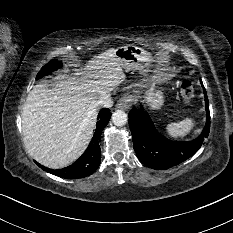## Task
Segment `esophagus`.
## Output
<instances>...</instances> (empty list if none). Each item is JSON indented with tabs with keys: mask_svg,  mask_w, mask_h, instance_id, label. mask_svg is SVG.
Wrapping results in <instances>:
<instances>
[{
	"mask_svg": "<svg viewBox=\"0 0 233 233\" xmlns=\"http://www.w3.org/2000/svg\"><path fill=\"white\" fill-rule=\"evenodd\" d=\"M133 102H134L133 96L125 95L118 101L117 108H121V109L129 108L133 104Z\"/></svg>",
	"mask_w": 233,
	"mask_h": 233,
	"instance_id": "obj_1",
	"label": "esophagus"
}]
</instances>
